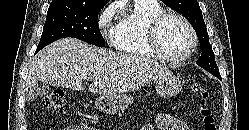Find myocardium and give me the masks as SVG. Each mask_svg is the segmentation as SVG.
<instances>
[{
  "mask_svg": "<svg viewBox=\"0 0 249 130\" xmlns=\"http://www.w3.org/2000/svg\"><path fill=\"white\" fill-rule=\"evenodd\" d=\"M170 18H175L181 21L187 28L191 38V44L188 51L179 57H174L167 54L163 50L160 43L161 28L163 24ZM147 40L153 53L160 59L169 63H182L187 61L194 54L198 45V37L191 22L182 14L174 11H164L150 20L147 26Z\"/></svg>",
  "mask_w": 249,
  "mask_h": 130,
  "instance_id": "1",
  "label": "myocardium"
}]
</instances>
